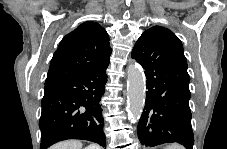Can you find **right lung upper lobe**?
I'll use <instances>...</instances> for the list:
<instances>
[{"instance_id": "cb5924a9", "label": "right lung upper lobe", "mask_w": 227, "mask_h": 149, "mask_svg": "<svg viewBox=\"0 0 227 149\" xmlns=\"http://www.w3.org/2000/svg\"><path fill=\"white\" fill-rule=\"evenodd\" d=\"M110 55L105 29L96 22L82 23L61 40L52 57L45 88L106 64Z\"/></svg>"}]
</instances>
